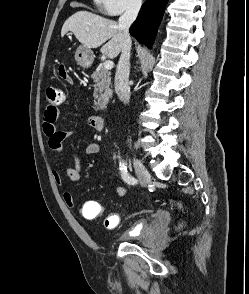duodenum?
<instances>
[{
  "instance_id": "duodenum-1",
  "label": "duodenum",
  "mask_w": 249,
  "mask_h": 294,
  "mask_svg": "<svg viewBox=\"0 0 249 294\" xmlns=\"http://www.w3.org/2000/svg\"><path fill=\"white\" fill-rule=\"evenodd\" d=\"M91 125L97 131H101L104 127V119L101 115H92L90 117Z\"/></svg>"
}]
</instances>
